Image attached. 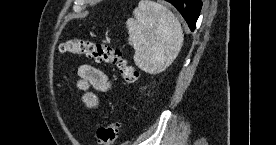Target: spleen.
Instances as JSON below:
<instances>
[{"label": "spleen", "instance_id": "1", "mask_svg": "<svg viewBox=\"0 0 276 145\" xmlns=\"http://www.w3.org/2000/svg\"><path fill=\"white\" fill-rule=\"evenodd\" d=\"M133 15L126 27L128 43L135 50V65L149 74L163 72L183 46L184 34L178 18L152 0H141Z\"/></svg>", "mask_w": 276, "mask_h": 145}]
</instances>
